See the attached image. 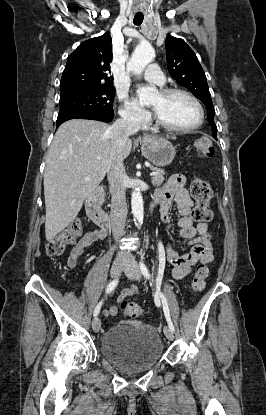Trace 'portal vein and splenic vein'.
Returning a JSON list of instances; mask_svg holds the SVG:
<instances>
[{"label": "portal vein and splenic vein", "mask_w": 266, "mask_h": 415, "mask_svg": "<svg viewBox=\"0 0 266 415\" xmlns=\"http://www.w3.org/2000/svg\"><path fill=\"white\" fill-rule=\"evenodd\" d=\"M155 175H157V172H151L150 173V176H155ZM85 180H90V178L89 177H85Z\"/></svg>", "instance_id": "1"}]
</instances>
